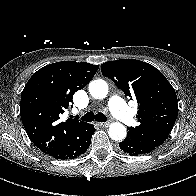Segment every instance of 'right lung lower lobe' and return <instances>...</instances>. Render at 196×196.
Instances as JSON below:
<instances>
[{
  "label": "right lung lower lobe",
  "mask_w": 196,
  "mask_h": 196,
  "mask_svg": "<svg viewBox=\"0 0 196 196\" xmlns=\"http://www.w3.org/2000/svg\"><path fill=\"white\" fill-rule=\"evenodd\" d=\"M94 131V126L87 124L81 131L73 136L67 145L48 155L60 160L77 158V156L85 153L89 148Z\"/></svg>",
  "instance_id": "98d812e1"
}]
</instances>
